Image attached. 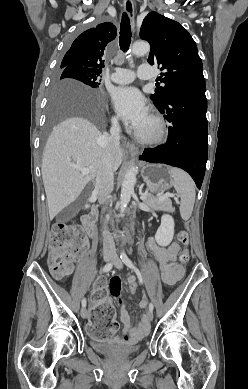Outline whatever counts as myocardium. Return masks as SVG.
<instances>
[{
	"label": "myocardium",
	"mask_w": 248,
	"mask_h": 389,
	"mask_svg": "<svg viewBox=\"0 0 248 389\" xmlns=\"http://www.w3.org/2000/svg\"><path fill=\"white\" fill-rule=\"evenodd\" d=\"M148 118L154 125V131L151 134H144L136 130L134 133L135 138L143 144H159L163 142L167 136V126L164 119L158 114H151Z\"/></svg>",
	"instance_id": "myocardium-1"
}]
</instances>
